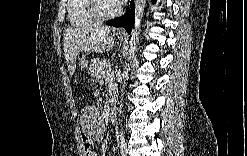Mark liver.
Listing matches in <instances>:
<instances>
[{"instance_id": "obj_1", "label": "liver", "mask_w": 247, "mask_h": 156, "mask_svg": "<svg viewBox=\"0 0 247 156\" xmlns=\"http://www.w3.org/2000/svg\"><path fill=\"white\" fill-rule=\"evenodd\" d=\"M115 31V28L101 24L68 28L64 33L63 42L69 74H74L76 57L80 52L110 51L114 46Z\"/></svg>"}]
</instances>
